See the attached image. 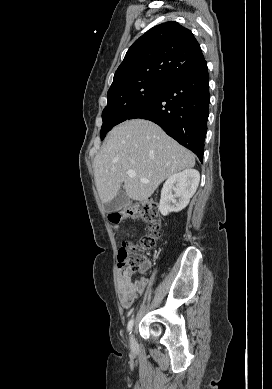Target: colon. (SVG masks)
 Returning <instances> with one entry per match:
<instances>
[{"label": "colon", "mask_w": 272, "mask_h": 389, "mask_svg": "<svg viewBox=\"0 0 272 389\" xmlns=\"http://www.w3.org/2000/svg\"><path fill=\"white\" fill-rule=\"evenodd\" d=\"M126 217L138 218L147 223L149 232L136 242L125 243L119 250V267L126 277L138 275L144 264L145 253L152 250L159 238L160 220L157 204L154 202H135L122 211L112 212L109 220L118 225ZM144 283L143 278H139Z\"/></svg>", "instance_id": "1"}]
</instances>
